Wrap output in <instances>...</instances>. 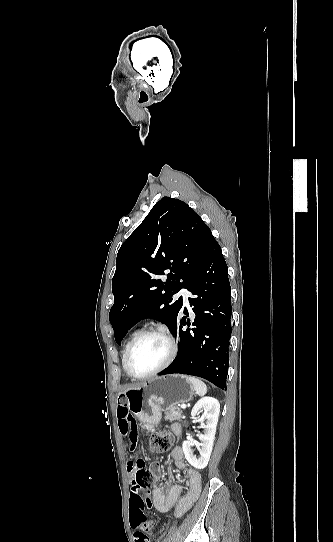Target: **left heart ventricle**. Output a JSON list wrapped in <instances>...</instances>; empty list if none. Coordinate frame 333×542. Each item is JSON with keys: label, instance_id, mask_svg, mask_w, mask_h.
I'll return each mask as SVG.
<instances>
[{"label": "left heart ventricle", "instance_id": "b2bd125f", "mask_svg": "<svg viewBox=\"0 0 333 542\" xmlns=\"http://www.w3.org/2000/svg\"><path fill=\"white\" fill-rule=\"evenodd\" d=\"M167 353L168 347L162 338L146 336L135 345L130 356L129 369L136 376L148 374L165 361Z\"/></svg>", "mask_w": 333, "mask_h": 542}]
</instances>
